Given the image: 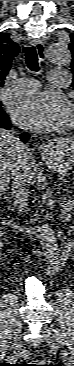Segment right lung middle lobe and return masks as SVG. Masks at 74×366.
Here are the masks:
<instances>
[{"instance_id":"dd1d6c3e","label":"right lung middle lobe","mask_w":74,"mask_h":366,"mask_svg":"<svg viewBox=\"0 0 74 366\" xmlns=\"http://www.w3.org/2000/svg\"><path fill=\"white\" fill-rule=\"evenodd\" d=\"M1 103V101H0ZM3 115H5V112L1 109V106H0V117H2Z\"/></svg>"}]
</instances>
